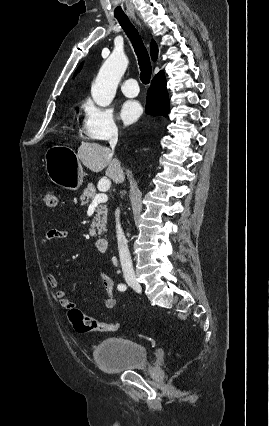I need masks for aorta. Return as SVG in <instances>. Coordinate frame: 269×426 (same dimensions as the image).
I'll list each match as a JSON object with an SVG mask.
<instances>
[{
  "label": "aorta",
  "instance_id": "aorta-1",
  "mask_svg": "<svg viewBox=\"0 0 269 426\" xmlns=\"http://www.w3.org/2000/svg\"><path fill=\"white\" fill-rule=\"evenodd\" d=\"M127 66V57L119 51H114L105 61L91 88L92 98L97 105L105 107L111 104Z\"/></svg>",
  "mask_w": 269,
  "mask_h": 426
}]
</instances>
